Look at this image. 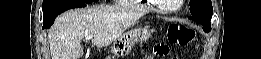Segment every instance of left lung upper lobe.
<instances>
[{
  "label": "left lung upper lobe",
  "mask_w": 261,
  "mask_h": 59,
  "mask_svg": "<svg viewBox=\"0 0 261 59\" xmlns=\"http://www.w3.org/2000/svg\"><path fill=\"white\" fill-rule=\"evenodd\" d=\"M190 12L193 17L204 21H211L213 7L211 0H190Z\"/></svg>",
  "instance_id": "5c2ea615"
}]
</instances>
